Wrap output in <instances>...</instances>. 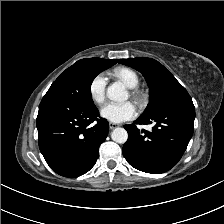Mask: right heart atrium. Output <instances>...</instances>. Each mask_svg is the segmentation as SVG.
Here are the masks:
<instances>
[{
  "mask_svg": "<svg viewBox=\"0 0 224 224\" xmlns=\"http://www.w3.org/2000/svg\"><path fill=\"white\" fill-rule=\"evenodd\" d=\"M106 86L107 78L103 73H98L90 81L88 91L91 100L95 104L101 105L104 103L106 96Z\"/></svg>",
  "mask_w": 224,
  "mask_h": 224,
  "instance_id": "d8ad5b80",
  "label": "right heart atrium"
}]
</instances>
